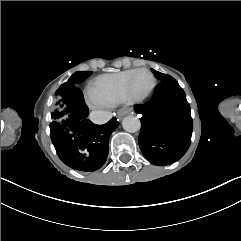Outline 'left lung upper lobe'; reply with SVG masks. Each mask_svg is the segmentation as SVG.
<instances>
[{"instance_id":"left-lung-upper-lobe-1","label":"left lung upper lobe","mask_w":241,"mask_h":241,"mask_svg":"<svg viewBox=\"0 0 241 241\" xmlns=\"http://www.w3.org/2000/svg\"><path fill=\"white\" fill-rule=\"evenodd\" d=\"M152 71H153L155 77H156L157 79H159L160 81H164V80H168V79H171V78H172V77L169 76V75L162 74V73L157 72V71H155V70H153V69H152Z\"/></svg>"}]
</instances>
